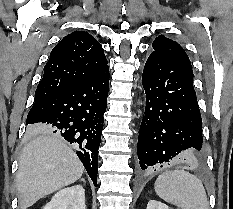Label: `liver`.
Listing matches in <instances>:
<instances>
[{
  "label": "liver",
  "mask_w": 233,
  "mask_h": 209,
  "mask_svg": "<svg viewBox=\"0 0 233 209\" xmlns=\"http://www.w3.org/2000/svg\"><path fill=\"white\" fill-rule=\"evenodd\" d=\"M26 144L20 154L17 190L21 209H27L39 199L76 182L84 167L75 152L58 135L44 126Z\"/></svg>",
  "instance_id": "liver-1"
}]
</instances>
